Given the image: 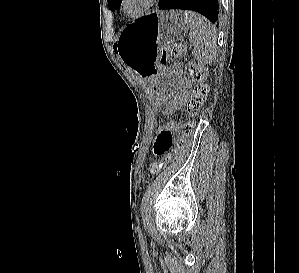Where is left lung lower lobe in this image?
I'll use <instances>...</instances> for the list:
<instances>
[{"label": "left lung lower lobe", "mask_w": 299, "mask_h": 273, "mask_svg": "<svg viewBox=\"0 0 299 273\" xmlns=\"http://www.w3.org/2000/svg\"><path fill=\"white\" fill-rule=\"evenodd\" d=\"M159 9H183L201 13L212 23L218 20V0H160Z\"/></svg>", "instance_id": "left-lung-lower-lobe-1"}]
</instances>
